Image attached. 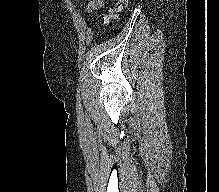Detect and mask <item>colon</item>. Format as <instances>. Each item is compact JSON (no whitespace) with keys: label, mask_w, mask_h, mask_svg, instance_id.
Listing matches in <instances>:
<instances>
[{"label":"colon","mask_w":219,"mask_h":192,"mask_svg":"<svg viewBox=\"0 0 219 192\" xmlns=\"http://www.w3.org/2000/svg\"><path fill=\"white\" fill-rule=\"evenodd\" d=\"M130 1L131 0H118V3L109 13L102 14L100 16L99 24L103 26H108L112 20H117L122 9H124Z\"/></svg>","instance_id":"5ec220e1"}]
</instances>
